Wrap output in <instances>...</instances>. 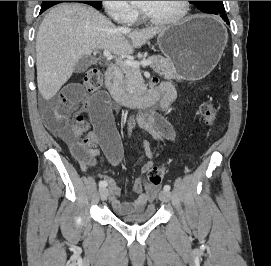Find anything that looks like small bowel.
Listing matches in <instances>:
<instances>
[{"label": "small bowel", "mask_w": 271, "mask_h": 266, "mask_svg": "<svg viewBox=\"0 0 271 266\" xmlns=\"http://www.w3.org/2000/svg\"><path fill=\"white\" fill-rule=\"evenodd\" d=\"M159 87L164 92L160 102L161 108L168 110L176 98V91L170 83H163ZM83 96L84 91L81 85L70 83L64 86L51 100L43 102L41 108L47 126L67 139L64 132L67 115ZM83 128L89 131V136L97 143L99 149L77 152L76 158L80 168L86 171L95 166L100 150L105 153L111 164H117L122 155V144L114 123L110 101L104 93H99L92 98L89 122ZM156 128L157 132L163 136H173L172 128L165 122H158ZM151 166L150 162L145 164L141 172L146 173ZM105 181L108 186V200L119 214L143 210L155 199L159 190L158 185H145L142 179L137 177L133 182V190L138 194V198L131 202H121L118 199L120 188L116 181L110 177H107Z\"/></svg>", "instance_id": "1"}]
</instances>
